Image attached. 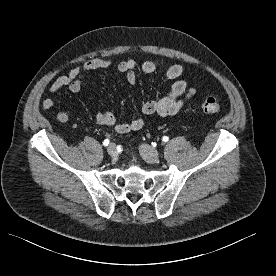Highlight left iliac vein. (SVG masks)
I'll list each match as a JSON object with an SVG mask.
<instances>
[{
	"mask_svg": "<svg viewBox=\"0 0 276 276\" xmlns=\"http://www.w3.org/2000/svg\"><path fill=\"white\" fill-rule=\"evenodd\" d=\"M142 156L148 161H156L158 159L157 151L151 148L149 145L143 144L140 147Z\"/></svg>",
	"mask_w": 276,
	"mask_h": 276,
	"instance_id": "1",
	"label": "left iliac vein"
}]
</instances>
